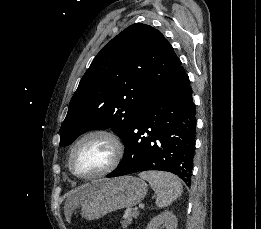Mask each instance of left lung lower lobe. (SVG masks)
I'll use <instances>...</instances> for the list:
<instances>
[{
    "mask_svg": "<svg viewBox=\"0 0 261 229\" xmlns=\"http://www.w3.org/2000/svg\"><path fill=\"white\" fill-rule=\"evenodd\" d=\"M189 77L180 66L148 95L125 144L118 168L107 177L139 171L192 177L196 117Z\"/></svg>",
    "mask_w": 261,
    "mask_h": 229,
    "instance_id": "left-lung-lower-lobe-1",
    "label": "left lung lower lobe"
}]
</instances>
